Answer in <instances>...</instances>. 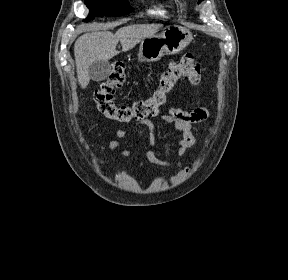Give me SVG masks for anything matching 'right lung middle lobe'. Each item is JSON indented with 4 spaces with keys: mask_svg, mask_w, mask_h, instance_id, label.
<instances>
[{
    "mask_svg": "<svg viewBox=\"0 0 288 280\" xmlns=\"http://www.w3.org/2000/svg\"><path fill=\"white\" fill-rule=\"evenodd\" d=\"M90 10L89 21L95 16H122L131 13L134 8L130 7L127 0H85Z\"/></svg>",
    "mask_w": 288,
    "mask_h": 280,
    "instance_id": "dd1d6c3e",
    "label": "right lung middle lobe"
}]
</instances>
